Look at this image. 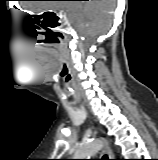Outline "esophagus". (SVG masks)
Segmentation results:
<instances>
[{
  "label": "esophagus",
  "instance_id": "34e87169",
  "mask_svg": "<svg viewBox=\"0 0 158 160\" xmlns=\"http://www.w3.org/2000/svg\"><path fill=\"white\" fill-rule=\"evenodd\" d=\"M103 152L108 155L109 159H113L114 158L113 153H112L111 149L108 146L104 147Z\"/></svg>",
  "mask_w": 158,
  "mask_h": 160
}]
</instances>
